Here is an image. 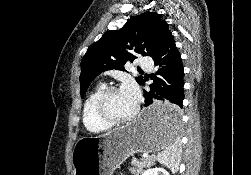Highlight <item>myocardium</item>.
Returning a JSON list of instances; mask_svg holds the SVG:
<instances>
[{"mask_svg": "<svg viewBox=\"0 0 251 175\" xmlns=\"http://www.w3.org/2000/svg\"><path fill=\"white\" fill-rule=\"evenodd\" d=\"M119 90L116 86H108L106 87L97 97L95 103V110L97 115L106 123L113 125H118L120 123H125L131 121L135 115L136 111H133L131 114L123 117H115L109 113L107 109V100L112 92Z\"/></svg>", "mask_w": 251, "mask_h": 175, "instance_id": "myocardium-1", "label": "myocardium"}]
</instances>
